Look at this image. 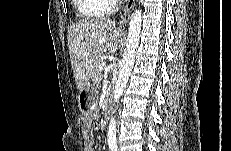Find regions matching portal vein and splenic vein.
<instances>
[{
  "label": "portal vein and splenic vein",
  "instance_id": "obj_1",
  "mask_svg": "<svg viewBox=\"0 0 231 151\" xmlns=\"http://www.w3.org/2000/svg\"><path fill=\"white\" fill-rule=\"evenodd\" d=\"M105 66H106V62L102 61V62L100 63V65H99V68H100L101 70H103V69L105 68Z\"/></svg>",
  "mask_w": 231,
  "mask_h": 151
}]
</instances>
